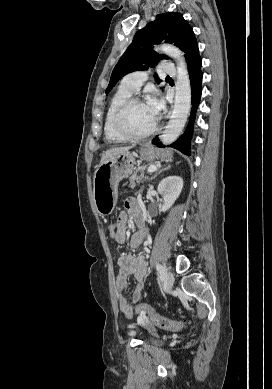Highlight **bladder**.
<instances>
[{"mask_svg":"<svg viewBox=\"0 0 272 389\" xmlns=\"http://www.w3.org/2000/svg\"><path fill=\"white\" fill-rule=\"evenodd\" d=\"M150 343L153 345H161L162 341L160 339H151Z\"/></svg>","mask_w":272,"mask_h":389,"instance_id":"bladder-1","label":"bladder"}]
</instances>
